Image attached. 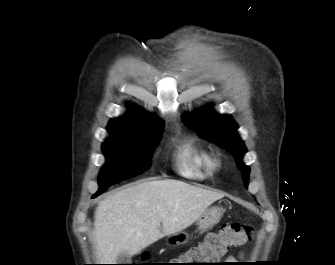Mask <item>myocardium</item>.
I'll list each match as a JSON object with an SVG mask.
<instances>
[{"label": "myocardium", "instance_id": "1", "mask_svg": "<svg viewBox=\"0 0 335 265\" xmlns=\"http://www.w3.org/2000/svg\"><path fill=\"white\" fill-rule=\"evenodd\" d=\"M213 165L215 168H218L221 166V161L218 158H213Z\"/></svg>", "mask_w": 335, "mask_h": 265}]
</instances>
